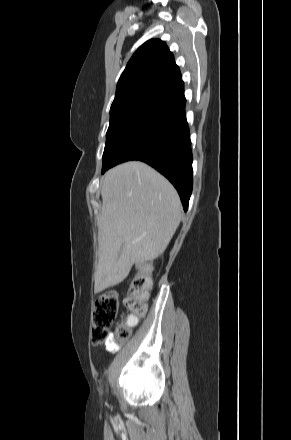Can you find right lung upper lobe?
<instances>
[{"label":"right lung upper lobe","mask_w":291,"mask_h":440,"mask_svg":"<svg viewBox=\"0 0 291 440\" xmlns=\"http://www.w3.org/2000/svg\"><path fill=\"white\" fill-rule=\"evenodd\" d=\"M180 81V70L166 43L151 39L129 60L119 78L112 104L135 98L155 99Z\"/></svg>","instance_id":"cb5924a9"}]
</instances>
